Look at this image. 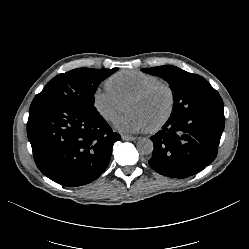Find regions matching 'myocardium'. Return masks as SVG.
I'll return each instance as SVG.
<instances>
[{
  "label": "myocardium",
  "mask_w": 249,
  "mask_h": 249,
  "mask_svg": "<svg viewBox=\"0 0 249 249\" xmlns=\"http://www.w3.org/2000/svg\"><path fill=\"white\" fill-rule=\"evenodd\" d=\"M158 89H161L166 93L168 97L169 105H168L167 112L161 118V120L156 125L148 129V132L150 133H155V132L160 131L162 128H164L168 124V122L172 118L175 108H176V96H175V92L173 88L166 82L157 81V82L147 85L146 87L139 90L138 92H136L129 98V102L133 100L143 99L151 95L154 91Z\"/></svg>",
  "instance_id": "obj_1"
}]
</instances>
